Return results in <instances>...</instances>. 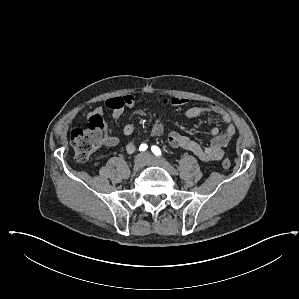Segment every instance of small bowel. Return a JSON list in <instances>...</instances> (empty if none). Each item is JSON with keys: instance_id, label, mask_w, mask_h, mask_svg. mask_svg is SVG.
I'll return each mask as SVG.
<instances>
[{"instance_id": "obj_1", "label": "small bowel", "mask_w": 299, "mask_h": 299, "mask_svg": "<svg viewBox=\"0 0 299 299\" xmlns=\"http://www.w3.org/2000/svg\"><path fill=\"white\" fill-rule=\"evenodd\" d=\"M189 100L184 97H171L163 98L160 103L163 105H169L173 107H183ZM138 103L135 95L127 94L121 97H112L105 101L104 105L95 107L90 116L100 115L102 116L106 109L110 111L111 119L116 122L124 112L125 107H134ZM184 115L187 118H197L204 115H212L215 118L221 120L225 124L224 131H220L218 127L211 129L212 140L210 145L201 146L192 138L183 135L179 132H171L168 136V143L172 148L182 149L193 153L199 159L203 161H218L224 156V147L228 145L232 137L236 133L235 125L232 123L231 116L221 107L217 105L208 106H191L184 111ZM135 128L132 124H127L123 127V135L129 136L134 132ZM163 124L159 119H155L151 126V134L153 136H160L163 133ZM121 141V137H113L109 143L116 145ZM137 143L130 141L127 143L125 149L126 152L132 154L136 151Z\"/></svg>"}]
</instances>
